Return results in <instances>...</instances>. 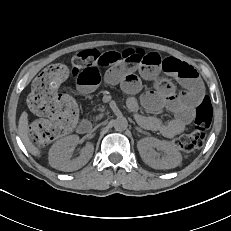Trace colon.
I'll list each match as a JSON object with an SVG mask.
<instances>
[{
    "instance_id": "obj_1",
    "label": "colon",
    "mask_w": 231,
    "mask_h": 231,
    "mask_svg": "<svg viewBox=\"0 0 231 231\" xmlns=\"http://www.w3.org/2000/svg\"><path fill=\"white\" fill-rule=\"evenodd\" d=\"M154 55L143 50L114 52L86 51L72 58L73 73L78 75L91 65L108 67L118 62H144ZM68 68L62 64L46 67L34 80L28 97L30 110L40 118L34 121L30 135L38 146H45L68 133L77 119L78 109L69 95L60 92V84L67 78ZM212 122V107L204 99L197 107L194 130L175 139L174 144L181 150L192 151L203 146L206 132Z\"/></svg>"
}]
</instances>
